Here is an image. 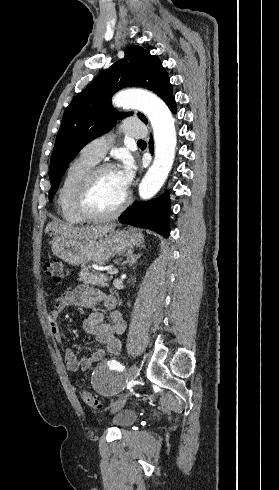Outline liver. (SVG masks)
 <instances>
[{"mask_svg": "<svg viewBox=\"0 0 279 490\" xmlns=\"http://www.w3.org/2000/svg\"><path fill=\"white\" fill-rule=\"evenodd\" d=\"M114 228L113 224H104V226H90V228H75L71 224H64V222H58L53 220L49 222L45 228V232H55L59 234L60 238H68V240H75V242H90V240H96L101 238L106 232Z\"/></svg>", "mask_w": 279, "mask_h": 490, "instance_id": "6515ba94", "label": "liver"}]
</instances>
